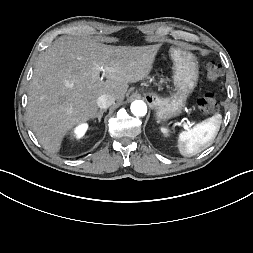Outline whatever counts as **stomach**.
Returning <instances> with one entry per match:
<instances>
[{
  "label": "stomach",
  "mask_w": 253,
  "mask_h": 253,
  "mask_svg": "<svg viewBox=\"0 0 253 253\" xmlns=\"http://www.w3.org/2000/svg\"><path fill=\"white\" fill-rule=\"evenodd\" d=\"M170 53L173 60L172 79L175 93L164 98L155 93L148 94L159 120H167L181 114L188 96L197 85L199 75L198 61L194 54L179 48H171Z\"/></svg>",
  "instance_id": "stomach-1"
}]
</instances>
